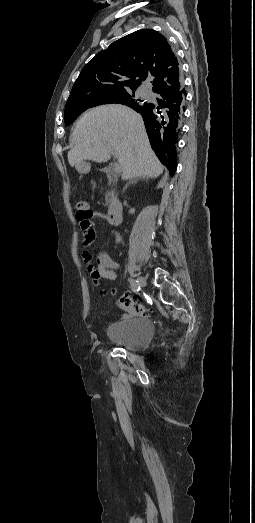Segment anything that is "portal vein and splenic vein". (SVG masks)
<instances>
[{"label":"portal vein and splenic vein","mask_w":255,"mask_h":523,"mask_svg":"<svg viewBox=\"0 0 255 523\" xmlns=\"http://www.w3.org/2000/svg\"><path fill=\"white\" fill-rule=\"evenodd\" d=\"M113 154V152H112ZM113 156H116V154H113ZM120 173V167L117 164H114L113 167V174L118 175Z\"/></svg>","instance_id":"18ae733b"}]
</instances>
